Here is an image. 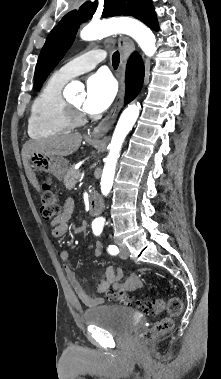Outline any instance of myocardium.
Masks as SVG:
<instances>
[{"label": "myocardium", "mask_w": 221, "mask_h": 379, "mask_svg": "<svg viewBox=\"0 0 221 379\" xmlns=\"http://www.w3.org/2000/svg\"><path fill=\"white\" fill-rule=\"evenodd\" d=\"M67 110L68 116L73 125L83 124L86 121L85 114L81 110L80 106L67 101Z\"/></svg>", "instance_id": "myocardium-1"}]
</instances>
